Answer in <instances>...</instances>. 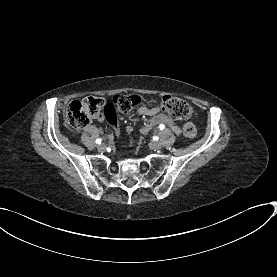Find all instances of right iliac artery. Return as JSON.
<instances>
[{
    "label": "right iliac artery",
    "mask_w": 277,
    "mask_h": 277,
    "mask_svg": "<svg viewBox=\"0 0 277 277\" xmlns=\"http://www.w3.org/2000/svg\"><path fill=\"white\" fill-rule=\"evenodd\" d=\"M97 144H100L101 142H102V139H96V141H95Z\"/></svg>",
    "instance_id": "1"
}]
</instances>
